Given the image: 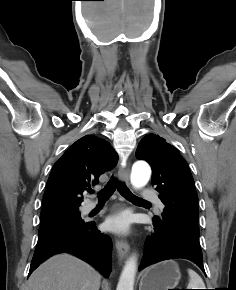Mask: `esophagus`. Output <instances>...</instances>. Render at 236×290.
<instances>
[{"mask_svg":"<svg viewBox=\"0 0 236 290\" xmlns=\"http://www.w3.org/2000/svg\"><path fill=\"white\" fill-rule=\"evenodd\" d=\"M129 166H120L118 170V178L121 182H124L126 185H129ZM115 246L118 252V257L120 260H123L129 253L130 246L125 239H116Z\"/></svg>","mask_w":236,"mask_h":290,"instance_id":"1","label":"esophagus"}]
</instances>
